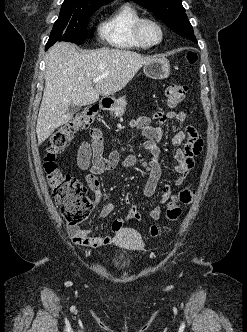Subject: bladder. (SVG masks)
Instances as JSON below:
<instances>
[{
    "mask_svg": "<svg viewBox=\"0 0 247 332\" xmlns=\"http://www.w3.org/2000/svg\"><path fill=\"white\" fill-rule=\"evenodd\" d=\"M112 263L117 268H126L131 264V259L128 256L118 254L112 259Z\"/></svg>",
    "mask_w": 247,
    "mask_h": 332,
    "instance_id": "1",
    "label": "bladder"
}]
</instances>
